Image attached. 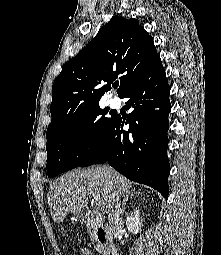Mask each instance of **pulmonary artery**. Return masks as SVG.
Listing matches in <instances>:
<instances>
[{"label": "pulmonary artery", "instance_id": "e3ab8cb5", "mask_svg": "<svg viewBox=\"0 0 221 255\" xmlns=\"http://www.w3.org/2000/svg\"><path fill=\"white\" fill-rule=\"evenodd\" d=\"M109 103L111 106H116L117 105V99L116 98H112L109 100Z\"/></svg>", "mask_w": 221, "mask_h": 255}]
</instances>
